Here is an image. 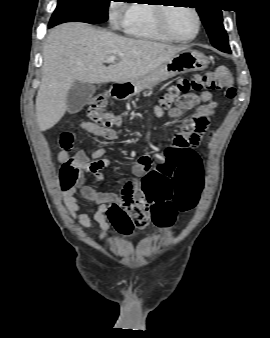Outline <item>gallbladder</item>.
Segmentation results:
<instances>
[{"instance_id": "gallbladder-1", "label": "gallbladder", "mask_w": 270, "mask_h": 338, "mask_svg": "<svg viewBox=\"0 0 270 338\" xmlns=\"http://www.w3.org/2000/svg\"><path fill=\"white\" fill-rule=\"evenodd\" d=\"M96 91L93 84L76 81L68 91L66 104L70 113L79 112L91 99Z\"/></svg>"}]
</instances>
